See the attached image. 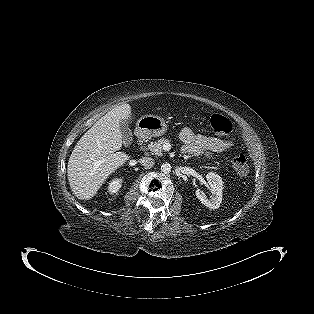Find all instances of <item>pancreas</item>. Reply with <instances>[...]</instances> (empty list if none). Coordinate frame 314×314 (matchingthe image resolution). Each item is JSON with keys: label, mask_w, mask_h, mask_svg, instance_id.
<instances>
[{"label": "pancreas", "mask_w": 314, "mask_h": 314, "mask_svg": "<svg viewBox=\"0 0 314 314\" xmlns=\"http://www.w3.org/2000/svg\"><path fill=\"white\" fill-rule=\"evenodd\" d=\"M170 141L166 138H161L155 142H151L150 144H148L147 146V150L151 151L152 154H155L157 156H162V147L163 145H165L166 143H169Z\"/></svg>", "instance_id": "obj_1"}]
</instances>
